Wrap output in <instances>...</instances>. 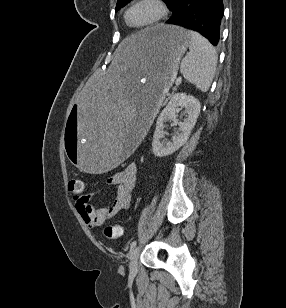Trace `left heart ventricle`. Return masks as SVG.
<instances>
[{
  "mask_svg": "<svg viewBox=\"0 0 286 308\" xmlns=\"http://www.w3.org/2000/svg\"><path fill=\"white\" fill-rule=\"evenodd\" d=\"M158 14L157 7L151 2H142L134 6L129 13L133 25H143L152 21Z\"/></svg>",
  "mask_w": 286,
  "mask_h": 308,
  "instance_id": "1",
  "label": "left heart ventricle"
}]
</instances>
